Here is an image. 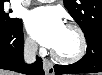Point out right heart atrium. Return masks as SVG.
Wrapping results in <instances>:
<instances>
[{"instance_id":"obj_1","label":"right heart atrium","mask_w":102,"mask_h":75,"mask_svg":"<svg viewBox=\"0 0 102 75\" xmlns=\"http://www.w3.org/2000/svg\"><path fill=\"white\" fill-rule=\"evenodd\" d=\"M25 46L29 51H34L36 49V44L30 37L25 38Z\"/></svg>"}]
</instances>
